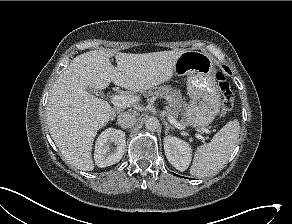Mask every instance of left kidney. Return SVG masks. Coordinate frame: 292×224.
Returning <instances> with one entry per match:
<instances>
[{
  "label": "left kidney",
  "instance_id": "1",
  "mask_svg": "<svg viewBox=\"0 0 292 224\" xmlns=\"http://www.w3.org/2000/svg\"><path fill=\"white\" fill-rule=\"evenodd\" d=\"M163 142L168 161L177 170L185 171L192 159V148L190 145L175 136H166Z\"/></svg>",
  "mask_w": 292,
  "mask_h": 224
}]
</instances>
